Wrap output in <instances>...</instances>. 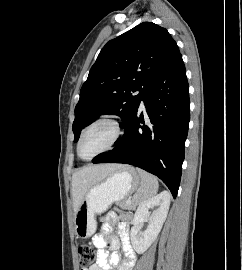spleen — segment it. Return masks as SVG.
Instances as JSON below:
<instances>
[{
  "label": "spleen",
  "mask_w": 242,
  "mask_h": 270,
  "mask_svg": "<svg viewBox=\"0 0 242 270\" xmlns=\"http://www.w3.org/2000/svg\"><path fill=\"white\" fill-rule=\"evenodd\" d=\"M137 171L141 177V184L133 197V201L136 204H141L142 202L149 200L156 195L159 185L155 176L141 169H137Z\"/></svg>",
  "instance_id": "spleen-1"
}]
</instances>
